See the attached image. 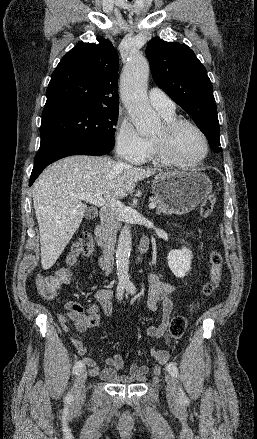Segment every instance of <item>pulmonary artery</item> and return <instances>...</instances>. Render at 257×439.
<instances>
[{
  "mask_svg": "<svg viewBox=\"0 0 257 439\" xmlns=\"http://www.w3.org/2000/svg\"><path fill=\"white\" fill-rule=\"evenodd\" d=\"M150 104L163 116L174 115L173 101L159 88H152L148 94Z\"/></svg>",
  "mask_w": 257,
  "mask_h": 439,
  "instance_id": "1",
  "label": "pulmonary artery"
}]
</instances>
